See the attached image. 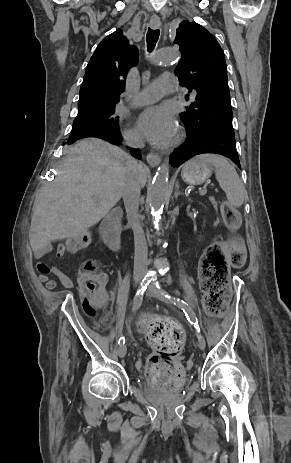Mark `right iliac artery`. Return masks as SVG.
Here are the masks:
<instances>
[{
  "label": "right iliac artery",
  "mask_w": 291,
  "mask_h": 463,
  "mask_svg": "<svg viewBox=\"0 0 291 463\" xmlns=\"http://www.w3.org/2000/svg\"><path fill=\"white\" fill-rule=\"evenodd\" d=\"M151 280H152V278L146 276L141 281V283H140V285L138 287V290L136 292L135 298H134V310H137L141 306L142 299H143V294H144L145 290L147 289V286L149 285ZM124 343H125V338L120 337L119 341H118V344L121 345V344H124Z\"/></svg>",
  "instance_id": "obj_1"
}]
</instances>
